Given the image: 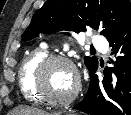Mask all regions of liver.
<instances>
[{"label":"liver","instance_id":"1","mask_svg":"<svg viewBox=\"0 0 131 115\" xmlns=\"http://www.w3.org/2000/svg\"><path fill=\"white\" fill-rule=\"evenodd\" d=\"M12 113L13 115H49L42 110L32 107H18Z\"/></svg>","mask_w":131,"mask_h":115}]
</instances>
